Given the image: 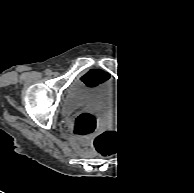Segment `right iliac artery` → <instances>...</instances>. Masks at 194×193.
<instances>
[{
  "instance_id": "82829eb1",
  "label": "right iliac artery",
  "mask_w": 194,
  "mask_h": 193,
  "mask_svg": "<svg viewBox=\"0 0 194 193\" xmlns=\"http://www.w3.org/2000/svg\"><path fill=\"white\" fill-rule=\"evenodd\" d=\"M45 73H46V75H51L52 74V71L49 70V69H47Z\"/></svg>"
}]
</instances>
